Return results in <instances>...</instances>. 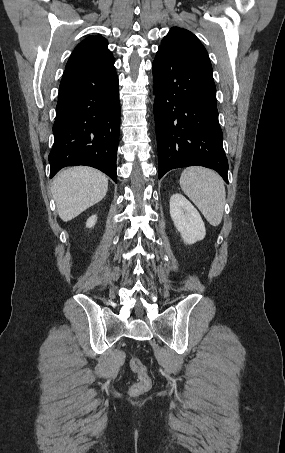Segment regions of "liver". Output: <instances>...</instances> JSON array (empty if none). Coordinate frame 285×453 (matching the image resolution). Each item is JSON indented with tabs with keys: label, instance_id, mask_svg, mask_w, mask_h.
<instances>
[{
	"label": "liver",
	"instance_id": "liver-1",
	"mask_svg": "<svg viewBox=\"0 0 285 453\" xmlns=\"http://www.w3.org/2000/svg\"><path fill=\"white\" fill-rule=\"evenodd\" d=\"M108 190L105 174L90 167L77 166L60 171L52 183V195L60 218L70 221L100 202Z\"/></svg>",
	"mask_w": 285,
	"mask_h": 453
}]
</instances>
